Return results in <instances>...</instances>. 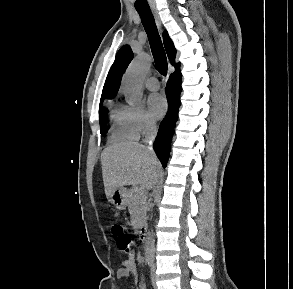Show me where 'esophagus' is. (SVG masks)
<instances>
[{
	"mask_svg": "<svg viewBox=\"0 0 293 289\" xmlns=\"http://www.w3.org/2000/svg\"><path fill=\"white\" fill-rule=\"evenodd\" d=\"M151 9H152V13H153L155 22H156L158 28L161 29V20H160V16L158 14V11L155 7H152Z\"/></svg>",
	"mask_w": 293,
	"mask_h": 289,
	"instance_id": "34e87169",
	"label": "esophagus"
}]
</instances>
